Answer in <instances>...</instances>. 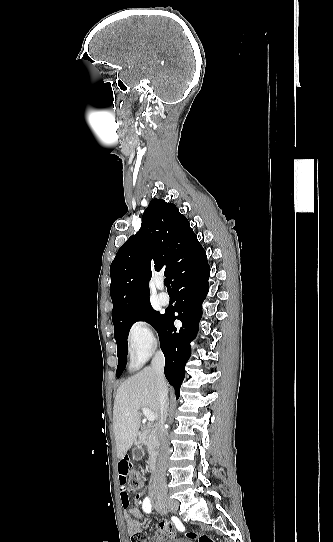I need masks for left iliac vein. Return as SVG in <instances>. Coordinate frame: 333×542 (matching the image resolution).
Wrapping results in <instances>:
<instances>
[{
    "label": "left iliac vein",
    "mask_w": 333,
    "mask_h": 542,
    "mask_svg": "<svg viewBox=\"0 0 333 542\" xmlns=\"http://www.w3.org/2000/svg\"><path fill=\"white\" fill-rule=\"evenodd\" d=\"M160 512L162 514H167V513H169V509L167 507H162V508H160Z\"/></svg>",
    "instance_id": "left-iliac-vein-1"
}]
</instances>
